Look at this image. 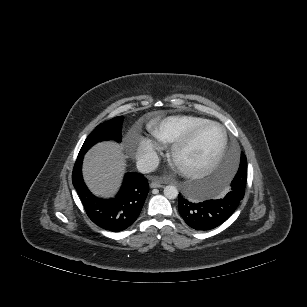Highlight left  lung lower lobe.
<instances>
[{
	"label": "left lung lower lobe",
	"mask_w": 307,
	"mask_h": 307,
	"mask_svg": "<svg viewBox=\"0 0 307 307\" xmlns=\"http://www.w3.org/2000/svg\"><path fill=\"white\" fill-rule=\"evenodd\" d=\"M240 164L243 168H247V160L243 152ZM231 187L224 198L203 202L184 198L179 194L178 210L180 215L195 230L205 231L218 227L235 212L245 194V190L240 188L239 183H232Z\"/></svg>",
	"instance_id": "obj_1"
}]
</instances>
